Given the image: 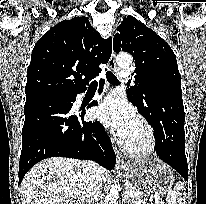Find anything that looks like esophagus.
Listing matches in <instances>:
<instances>
[{
    "instance_id": "1",
    "label": "esophagus",
    "mask_w": 206,
    "mask_h": 204,
    "mask_svg": "<svg viewBox=\"0 0 206 204\" xmlns=\"http://www.w3.org/2000/svg\"><path fill=\"white\" fill-rule=\"evenodd\" d=\"M115 52L112 50L110 59H109V69L113 72L117 71L116 61H115ZM116 154V168H123L125 166L122 154L115 149Z\"/></svg>"
}]
</instances>
